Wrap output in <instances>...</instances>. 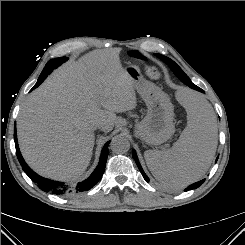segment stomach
<instances>
[{"instance_id":"obj_1","label":"stomach","mask_w":245,"mask_h":245,"mask_svg":"<svg viewBox=\"0 0 245 245\" xmlns=\"http://www.w3.org/2000/svg\"><path fill=\"white\" fill-rule=\"evenodd\" d=\"M124 70L148 108L144 119L135 125L138 135L143 142L150 145L164 143L175 132L174 106L168 95L145 80L137 66L129 64Z\"/></svg>"}]
</instances>
